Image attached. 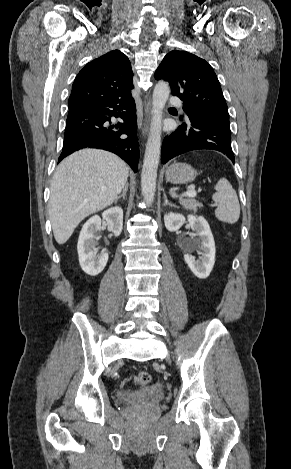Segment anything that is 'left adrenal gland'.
<instances>
[{
    "label": "left adrenal gland",
    "mask_w": 291,
    "mask_h": 469,
    "mask_svg": "<svg viewBox=\"0 0 291 469\" xmlns=\"http://www.w3.org/2000/svg\"><path fill=\"white\" fill-rule=\"evenodd\" d=\"M164 196V206L169 205L178 208L175 204H172L171 202L168 201L167 196L165 193H163Z\"/></svg>",
    "instance_id": "1"
}]
</instances>
